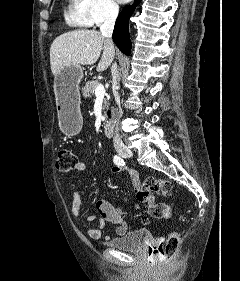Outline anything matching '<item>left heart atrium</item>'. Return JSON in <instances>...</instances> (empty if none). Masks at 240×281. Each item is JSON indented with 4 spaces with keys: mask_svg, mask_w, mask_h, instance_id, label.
Listing matches in <instances>:
<instances>
[{
    "mask_svg": "<svg viewBox=\"0 0 240 281\" xmlns=\"http://www.w3.org/2000/svg\"><path fill=\"white\" fill-rule=\"evenodd\" d=\"M120 3H124V2H127L129 0H118Z\"/></svg>",
    "mask_w": 240,
    "mask_h": 281,
    "instance_id": "39dd6f15",
    "label": "left heart atrium"
}]
</instances>
